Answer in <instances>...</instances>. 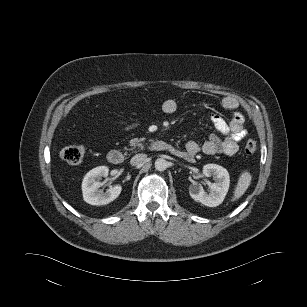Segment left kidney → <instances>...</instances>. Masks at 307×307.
I'll return each instance as SVG.
<instances>
[{
    "mask_svg": "<svg viewBox=\"0 0 307 307\" xmlns=\"http://www.w3.org/2000/svg\"><path fill=\"white\" fill-rule=\"evenodd\" d=\"M203 174L206 177L213 176L215 182L210 185L209 193L205 192L201 186L191 185L189 194L197 202L208 206L216 207L220 205L228 192L230 177L228 171L217 164H206L203 166Z\"/></svg>",
    "mask_w": 307,
    "mask_h": 307,
    "instance_id": "obj_1",
    "label": "left kidney"
}]
</instances>
